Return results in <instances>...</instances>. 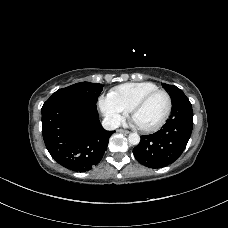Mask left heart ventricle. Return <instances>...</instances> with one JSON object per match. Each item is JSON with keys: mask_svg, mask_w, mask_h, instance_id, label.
Masks as SVG:
<instances>
[{"mask_svg": "<svg viewBox=\"0 0 228 228\" xmlns=\"http://www.w3.org/2000/svg\"><path fill=\"white\" fill-rule=\"evenodd\" d=\"M167 108V98L163 93L155 94L133 116V121L141 127L156 124L164 115Z\"/></svg>", "mask_w": 228, "mask_h": 228, "instance_id": "left-heart-ventricle-1", "label": "left heart ventricle"}]
</instances>
